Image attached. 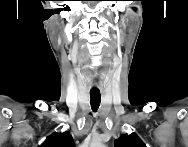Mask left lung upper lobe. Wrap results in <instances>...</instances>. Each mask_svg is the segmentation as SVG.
Instances as JSON below:
<instances>
[{"label": "left lung upper lobe", "instance_id": "left-lung-upper-lobe-1", "mask_svg": "<svg viewBox=\"0 0 188 147\" xmlns=\"http://www.w3.org/2000/svg\"><path fill=\"white\" fill-rule=\"evenodd\" d=\"M115 147H145V145L136 134L132 133L130 135L124 134L115 140Z\"/></svg>", "mask_w": 188, "mask_h": 147}]
</instances>
